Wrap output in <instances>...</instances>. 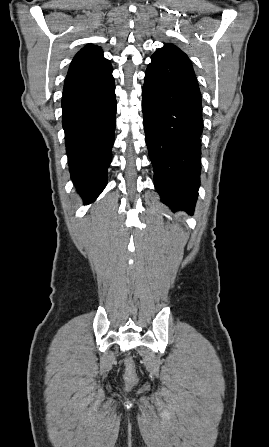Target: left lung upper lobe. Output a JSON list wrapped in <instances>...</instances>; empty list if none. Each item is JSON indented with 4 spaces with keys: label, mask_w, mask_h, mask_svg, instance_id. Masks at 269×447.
I'll list each match as a JSON object with an SVG mask.
<instances>
[{
    "label": "left lung upper lobe",
    "mask_w": 269,
    "mask_h": 447,
    "mask_svg": "<svg viewBox=\"0 0 269 447\" xmlns=\"http://www.w3.org/2000/svg\"><path fill=\"white\" fill-rule=\"evenodd\" d=\"M163 48H169V49H179V48H177L176 46H174L173 44H166V45H164V47Z\"/></svg>",
    "instance_id": "obj_1"
}]
</instances>
